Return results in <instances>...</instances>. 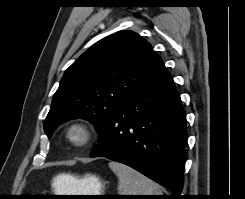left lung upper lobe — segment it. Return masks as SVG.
Returning a JSON list of instances; mask_svg holds the SVG:
<instances>
[{
	"label": "left lung upper lobe",
	"instance_id": "5c2ea615",
	"mask_svg": "<svg viewBox=\"0 0 245 199\" xmlns=\"http://www.w3.org/2000/svg\"><path fill=\"white\" fill-rule=\"evenodd\" d=\"M151 45L132 31L110 35L84 52L64 73L44 130L75 118L89 120L100 134L111 113L138 92L161 65Z\"/></svg>",
	"mask_w": 245,
	"mask_h": 199
}]
</instances>
